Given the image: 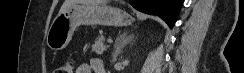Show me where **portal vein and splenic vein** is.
I'll return each instance as SVG.
<instances>
[{
    "label": "portal vein and splenic vein",
    "instance_id": "portal-vein-and-splenic-vein-1",
    "mask_svg": "<svg viewBox=\"0 0 244 73\" xmlns=\"http://www.w3.org/2000/svg\"><path fill=\"white\" fill-rule=\"evenodd\" d=\"M107 42H108V43H112L113 40H112V39H108Z\"/></svg>",
    "mask_w": 244,
    "mask_h": 73
}]
</instances>
